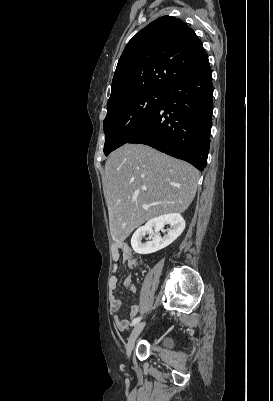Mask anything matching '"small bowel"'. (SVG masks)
Listing matches in <instances>:
<instances>
[{
  "mask_svg": "<svg viewBox=\"0 0 273 401\" xmlns=\"http://www.w3.org/2000/svg\"><path fill=\"white\" fill-rule=\"evenodd\" d=\"M112 271L109 278V289L111 292L110 298V310L113 315V324L115 328L119 331H126L130 327V320H135L140 314L141 307L145 304H153L155 302V297L150 295L148 290H141L139 293L140 301L139 304H134L130 307L128 318H122L118 315V312L122 306V301L116 295L118 290V278L117 272L119 269L118 262L121 260L126 263L128 267L133 268L138 266V261L133 258V252L131 247L125 242H117L112 246ZM122 285L124 287H133L135 285V280L131 277H125L122 280ZM136 293L137 291H130Z\"/></svg>",
  "mask_w": 273,
  "mask_h": 401,
  "instance_id": "1",
  "label": "small bowel"
}]
</instances>
